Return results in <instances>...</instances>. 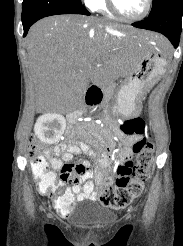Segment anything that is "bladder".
I'll return each mask as SVG.
<instances>
[{
  "label": "bladder",
  "instance_id": "1",
  "mask_svg": "<svg viewBox=\"0 0 183 246\" xmlns=\"http://www.w3.org/2000/svg\"><path fill=\"white\" fill-rule=\"evenodd\" d=\"M111 217V212L104 207H90L75 217L76 222L82 226L104 224Z\"/></svg>",
  "mask_w": 183,
  "mask_h": 246
}]
</instances>
